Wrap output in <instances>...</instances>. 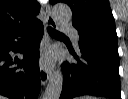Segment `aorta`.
<instances>
[{
    "label": "aorta",
    "instance_id": "762f6f07",
    "mask_svg": "<svg viewBox=\"0 0 128 99\" xmlns=\"http://www.w3.org/2000/svg\"><path fill=\"white\" fill-rule=\"evenodd\" d=\"M53 16L59 23H67L72 17L70 7L64 3H57L52 9ZM63 86V77L59 70L51 76L47 88L44 92L43 99H59Z\"/></svg>",
    "mask_w": 128,
    "mask_h": 99
}]
</instances>
